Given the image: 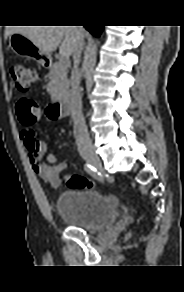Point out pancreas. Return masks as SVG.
Here are the masks:
<instances>
[{"mask_svg":"<svg viewBox=\"0 0 184 292\" xmlns=\"http://www.w3.org/2000/svg\"><path fill=\"white\" fill-rule=\"evenodd\" d=\"M67 66L56 62L50 68L49 83L47 91L52 99L64 98L69 93V82L67 78Z\"/></svg>","mask_w":184,"mask_h":292,"instance_id":"obj_1","label":"pancreas"}]
</instances>
